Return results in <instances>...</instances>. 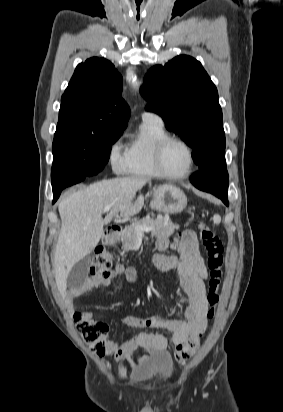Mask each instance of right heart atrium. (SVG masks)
<instances>
[{
    "label": "right heart atrium",
    "mask_w": 283,
    "mask_h": 412,
    "mask_svg": "<svg viewBox=\"0 0 283 412\" xmlns=\"http://www.w3.org/2000/svg\"><path fill=\"white\" fill-rule=\"evenodd\" d=\"M125 153L126 150H124V144L119 137L111 144L109 150L110 161L115 171H121L123 169Z\"/></svg>",
    "instance_id": "obj_1"
}]
</instances>
